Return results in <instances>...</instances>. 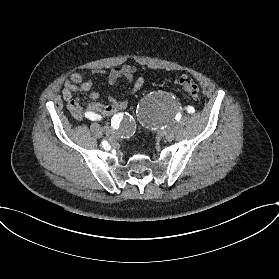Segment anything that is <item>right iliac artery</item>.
Returning a JSON list of instances; mask_svg holds the SVG:
<instances>
[{
	"instance_id": "1",
	"label": "right iliac artery",
	"mask_w": 279,
	"mask_h": 279,
	"mask_svg": "<svg viewBox=\"0 0 279 279\" xmlns=\"http://www.w3.org/2000/svg\"><path fill=\"white\" fill-rule=\"evenodd\" d=\"M86 118H90L91 120L100 121L102 119V116L100 114H94L92 111H86L82 114ZM125 125V120L122 117H119L118 115H114V117L111 120V126L116 128H122Z\"/></svg>"
}]
</instances>
